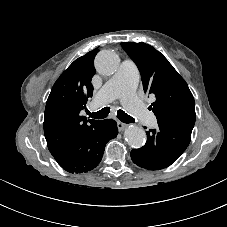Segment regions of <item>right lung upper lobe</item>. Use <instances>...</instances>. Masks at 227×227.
Listing matches in <instances>:
<instances>
[{
    "instance_id": "cb5924a9",
    "label": "right lung upper lobe",
    "mask_w": 227,
    "mask_h": 227,
    "mask_svg": "<svg viewBox=\"0 0 227 227\" xmlns=\"http://www.w3.org/2000/svg\"><path fill=\"white\" fill-rule=\"evenodd\" d=\"M94 49L76 59L57 79L47 99L44 113V134L51 154L78 140L94 128L99 120H86L81 110L92 97L91 79L95 74Z\"/></svg>"
}]
</instances>
